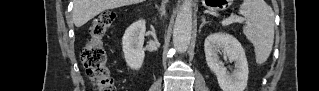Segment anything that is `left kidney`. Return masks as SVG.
<instances>
[{
	"label": "left kidney",
	"mask_w": 319,
	"mask_h": 91,
	"mask_svg": "<svg viewBox=\"0 0 319 91\" xmlns=\"http://www.w3.org/2000/svg\"><path fill=\"white\" fill-rule=\"evenodd\" d=\"M204 51L206 62L216 75L222 91H244L248 82V62L241 43L232 35L222 32L210 34L205 39ZM235 62V70L229 74L219 53Z\"/></svg>",
	"instance_id": "obj_1"
}]
</instances>
